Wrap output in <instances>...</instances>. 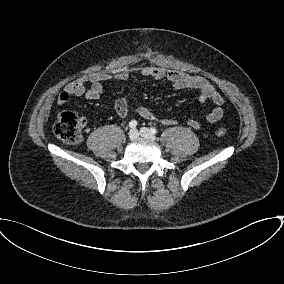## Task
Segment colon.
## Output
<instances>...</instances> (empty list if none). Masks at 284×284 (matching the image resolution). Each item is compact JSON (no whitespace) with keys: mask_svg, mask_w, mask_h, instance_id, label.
Masks as SVG:
<instances>
[{"mask_svg":"<svg viewBox=\"0 0 284 284\" xmlns=\"http://www.w3.org/2000/svg\"><path fill=\"white\" fill-rule=\"evenodd\" d=\"M53 132L57 138L67 144H78L82 140L81 120L74 113H59L53 125ZM217 136H224L226 130L218 128Z\"/></svg>","mask_w":284,"mask_h":284,"instance_id":"colon-1","label":"colon"}]
</instances>
